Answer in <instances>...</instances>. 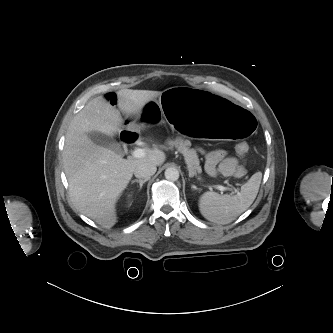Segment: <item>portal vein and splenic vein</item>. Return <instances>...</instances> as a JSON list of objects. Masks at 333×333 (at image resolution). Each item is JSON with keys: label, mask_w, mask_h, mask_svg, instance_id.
Instances as JSON below:
<instances>
[{"label": "portal vein and splenic vein", "mask_w": 333, "mask_h": 333, "mask_svg": "<svg viewBox=\"0 0 333 333\" xmlns=\"http://www.w3.org/2000/svg\"><path fill=\"white\" fill-rule=\"evenodd\" d=\"M133 157L135 158H142V157H145L146 155V152L144 149H141V148H138V149H135L132 153ZM216 188L222 192L226 191V190H230L229 188L227 187H224L222 185H217Z\"/></svg>", "instance_id": "portal-vein-and-splenic-vein-1"}]
</instances>
